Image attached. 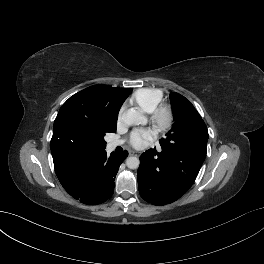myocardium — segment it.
<instances>
[{
	"instance_id": "myocardium-1",
	"label": "myocardium",
	"mask_w": 264,
	"mask_h": 264,
	"mask_svg": "<svg viewBox=\"0 0 264 264\" xmlns=\"http://www.w3.org/2000/svg\"><path fill=\"white\" fill-rule=\"evenodd\" d=\"M151 120L159 130L167 131L174 125V110L171 105L161 103L151 112Z\"/></svg>"
}]
</instances>
